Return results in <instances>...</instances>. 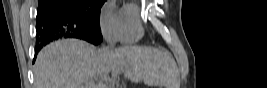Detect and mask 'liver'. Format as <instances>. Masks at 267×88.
<instances>
[{"label":"liver","mask_w":267,"mask_h":88,"mask_svg":"<svg viewBox=\"0 0 267 88\" xmlns=\"http://www.w3.org/2000/svg\"><path fill=\"white\" fill-rule=\"evenodd\" d=\"M149 86L179 88L174 59L158 49L125 46L96 49L78 39H63L44 47L34 66L35 88H107L96 80L112 70ZM101 86V87H99Z\"/></svg>","instance_id":"liver-1"}]
</instances>
